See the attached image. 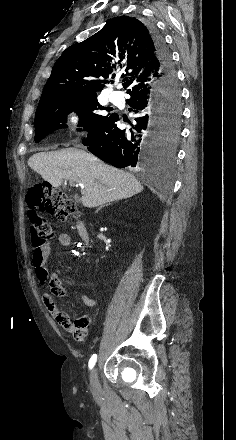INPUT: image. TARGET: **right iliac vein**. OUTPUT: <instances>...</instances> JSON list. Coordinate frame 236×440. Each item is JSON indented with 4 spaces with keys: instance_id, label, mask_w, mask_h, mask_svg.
<instances>
[{
    "instance_id": "obj_1",
    "label": "right iliac vein",
    "mask_w": 236,
    "mask_h": 440,
    "mask_svg": "<svg viewBox=\"0 0 236 440\" xmlns=\"http://www.w3.org/2000/svg\"><path fill=\"white\" fill-rule=\"evenodd\" d=\"M90 387L93 391L99 390L98 371L96 367L91 371Z\"/></svg>"
}]
</instances>
